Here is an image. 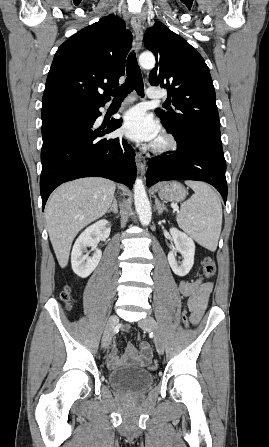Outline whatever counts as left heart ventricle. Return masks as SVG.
<instances>
[{
	"mask_svg": "<svg viewBox=\"0 0 269 447\" xmlns=\"http://www.w3.org/2000/svg\"><path fill=\"white\" fill-rule=\"evenodd\" d=\"M153 143L157 146L161 145L163 143L162 137L159 136Z\"/></svg>",
	"mask_w": 269,
	"mask_h": 447,
	"instance_id": "b2bd125f",
	"label": "left heart ventricle"
}]
</instances>
